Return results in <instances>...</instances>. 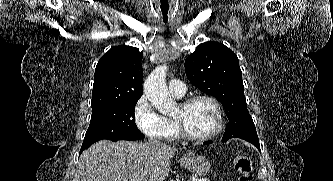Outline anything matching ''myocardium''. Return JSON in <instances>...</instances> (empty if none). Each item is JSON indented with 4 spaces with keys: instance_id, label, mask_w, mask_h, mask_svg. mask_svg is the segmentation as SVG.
<instances>
[{
    "instance_id": "f54148a6",
    "label": "myocardium",
    "mask_w": 333,
    "mask_h": 181,
    "mask_svg": "<svg viewBox=\"0 0 333 181\" xmlns=\"http://www.w3.org/2000/svg\"><path fill=\"white\" fill-rule=\"evenodd\" d=\"M198 100L208 101L209 103L212 104V106L215 109L217 121H216L215 128L211 132H209L205 135H200V136L193 135L186 129L184 123L180 119L174 118V120H175L177 127L179 129V132L183 138L190 140V141L203 142V141L210 140L219 134V132L222 130L223 125H224V116H223L222 106L219 103V101L215 97H213L211 95H207V94H198V95H193L188 98H185L184 100H182L180 102L179 106L182 109H185L188 106H190L192 103H194Z\"/></svg>"
}]
</instances>
